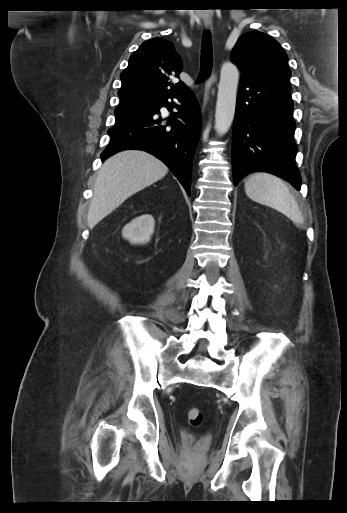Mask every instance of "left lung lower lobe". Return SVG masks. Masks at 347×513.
<instances>
[{
	"mask_svg": "<svg viewBox=\"0 0 347 513\" xmlns=\"http://www.w3.org/2000/svg\"><path fill=\"white\" fill-rule=\"evenodd\" d=\"M289 81L241 78L232 137L234 184L253 171L275 174L300 190Z\"/></svg>",
	"mask_w": 347,
	"mask_h": 513,
	"instance_id": "obj_1",
	"label": "left lung lower lobe"
}]
</instances>
